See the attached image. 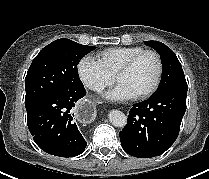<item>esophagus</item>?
<instances>
[{"instance_id":"1","label":"esophagus","mask_w":209,"mask_h":179,"mask_svg":"<svg viewBox=\"0 0 209 179\" xmlns=\"http://www.w3.org/2000/svg\"><path fill=\"white\" fill-rule=\"evenodd\" d=\"M72 113L77 121L87 123L95 117L96 109L90 101H79L74 105Z\"/></svg>"}]
</instances>
